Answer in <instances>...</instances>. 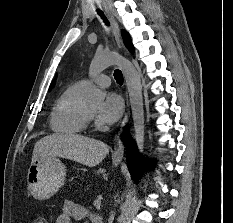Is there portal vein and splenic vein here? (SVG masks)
<instances>
[{
  "instance_id": "18ae733b",
  "label": "portal vein and splenic vein",
  "mask_w": 233,
  "mask_h": 223,
  "mask_svg": "<svg viewBox=\"0 0 233 223\" xmlns=\"http://www.w3.org/2000/svg\"><path fill=\"white\" fill-rule=\"evenodd\" d=\"M93 205H94V206H101V205H102V202H101V201H94V202H93Z\"/></svg>"
}]
</instances>
